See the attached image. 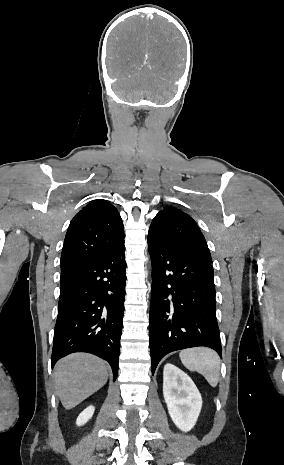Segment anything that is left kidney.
<instances>
[{
  "instance_id": "5707ae66",
  "label": "left kidney",
  "mask_w": 284,
  "mask_h": 465,
  "mask_svg": "<svg viewBox=\"0 0 284 465\" xmlns=\"http://www.w3.org/2000/svg\"><path fill=\"white\" fill-rule=\"evenodd\" d=\"M163 395L176 427L184 433L191 431L202 409V397L192 379L170 363L163 371Z\"/></svg>"
}]
</instances>
